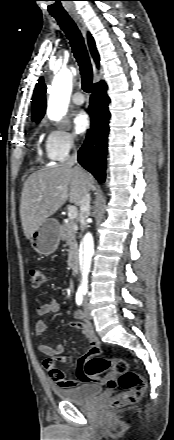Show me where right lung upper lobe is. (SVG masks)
I'll return each instance as SVG.
<instances>
[{"label": "right lung upper lobe", "mask_w": 174, "mask_h": 440, "mask_svg": "<svg viewBox=\"0 0 174 440\" xmlns=\"http://www.w3.org/2000/svg\"><path fill=\"white\" fill-rule=\"evenodd\" d=\"M88 44L91 54L95 62L98 64L99 55L96 50L94 39L90 33H88ZM45 110H46V96H45L44 81L42 78H40L38 83L36 84L34 94L32 97V120L40 121L44 116Z\"/></svg>", "instance_id": "cb5924a9"}]
</instances>
